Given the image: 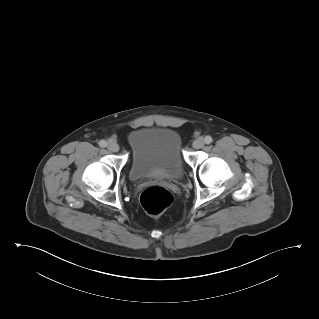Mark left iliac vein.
<instances>
[{
	"label": "left iliac vein",
	"instance_id": "4c4485c4",
	"mask_svg": "<svg viewBox=\"0 0 319 319\" xmlns=\"http://www.w3.org/2000/svg\"><path fill=\"white\" fill-rule=\"evenodd\" d=\"M204 144H205L204 139L199 137L193 141L192 146L195 149H200L204 146Z\"/></svg>",
	"mask_w": 319,
	"mask_h": 319
}]
</instances>
